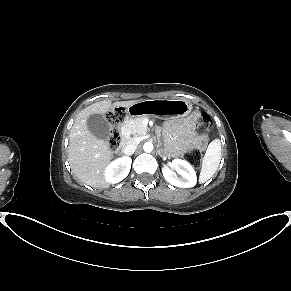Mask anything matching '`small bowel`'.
<instances>
[{
	"label": "small bowel",
	"mask_w": 291,
	"mask_h": 291,
	"mask_svg": "<svg viewBox=\"0 0 291 291\" xmlns=\"http://www.w3.org/2000/svg\"><path fill=\"white\" fill-rule=\"evenodd\" d=\"M199 114L195 110H190L186 114V119L170 122L167 126L172 130H176L179 133V143L177 150L180 152L193 144L195 139L193 137V123L197 122Z\"/></svg>",
	"instance_id": "obj_1"
}]
</instances>
